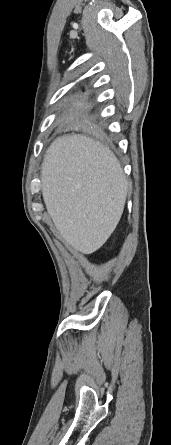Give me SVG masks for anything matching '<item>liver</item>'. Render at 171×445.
Instances as JSON below:
<instances>
[{
  "instance_id": "obj_1",
  "label": "liver",
  "mask_w": 171,
  "mask_h": 445,
  "mask_svg": "<svg viewBox=\"0 0 171 445\" xmlns=\"http://www.w3.org/2000/svg\"><path fill=\"white\" fill-rule=\"evenodd\" d=\"M41 185L46 209L59 234L83 254L96 251L111 236L129 188L115 155L80 134L52 142L42 163Z\"/></svg>"
}]
</instances>
